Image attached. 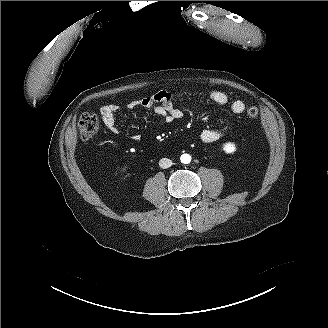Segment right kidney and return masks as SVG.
Segmentation results:
<instances>
[{
  "label": "right kidney",
  "mask_w": 328,
  "mask_h": 328,
  "mask_svg": "<svg viewBox=\"0 0 328 328\" xmlns=\"http://www.w3.org/2000/svg\"><path fill=\"white\" fill-rule=\"evenodd\" d=\"M120 171H121L122 173H126V172L128 171V167H127V166H124V167H122V168L120 169Z\"/></svg>",
  "instance_id": "obj_1"
}]
</instances>
